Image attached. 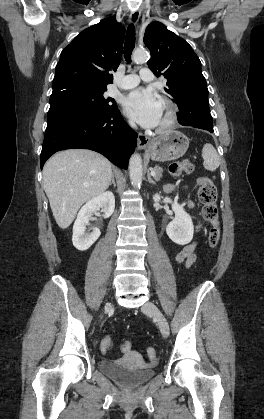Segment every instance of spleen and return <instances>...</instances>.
Returning a JSON list of instances; mask_svg holds the SVG:
<instances>
[{
	"label": "spleen",
	"mask_w": 264,
	"mask_h": 419,
	"mask_svg": "<svg viewBox=\"0 0 264 419\" xmlns=\"http://www.w3.org/2000/svg\"><path fill=\"white\" fill-rule=\"evenodd\" d=\"M203 166L208 171H215L220 164V159L213 145L206 143L202 149Z\"/></svg>",
	"instance_id": "spleen-1"
}]
</instances>
